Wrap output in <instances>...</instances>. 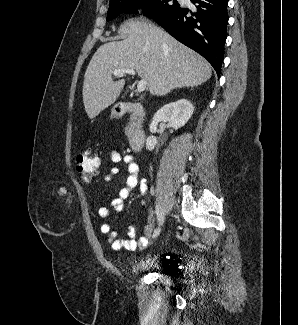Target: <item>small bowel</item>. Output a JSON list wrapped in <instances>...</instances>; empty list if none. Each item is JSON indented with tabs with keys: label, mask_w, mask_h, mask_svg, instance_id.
I'll use <instances>...</instances> for the list:
<instances>
[{
	"label": "small bowel",
	"mask_w": 298,
	"mask_h": 325,
	"mask_svg": "<svg viewBox=\"0 0 298 325\" xmlns=\"http://www.w3.org/2000/svg\"><path fill=\"white\" fill-rule=\"evenodd\" d=\"M110 159L114 164L108 172L103 176L105 182H111L120 172L118 164L123 163L126 166L128 176L126 178V186L119 191V194L111 202V206L119 213L124 211V200L128 198L132 189L138 187L142 195L147 192V186L145 179L139 178V166L135 162L134 157L131 154L121 153L118 150H112L110 152ZM144 205V202H141ZM98 216L105 219L109 216V209L107 207H100L98 209ZM102 234L106 235L107 241L113 251L128 250L133 251L137 247H143L148 244L147 236L152 231V223L148 221L145 226L146 236L136 238V229L130 225L127 228V238H120L116 230H114L109 224L104 223L100 227Z\"/></svg>",
	"instance_id": "obj_1"
}]
</instances>
